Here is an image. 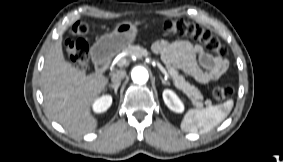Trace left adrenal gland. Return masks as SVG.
Segmentation results:
<instances>
[{
  "instance_id": "obj_1",
  "label": "left adrenal gland",
  "mask_w": 283,
  "mask_h": 162,
  "mask_svg": "<svg viewBox=\"0 0 283 162\" xmlns=\"http://www.w3.org/2000/svg\"><path fill=\"white\" fill-rule=\"evenodd\" d=\"M160 79H161V81H162V84H164V85H169V82H168L167 80L163 79L162 76H160Z\"/></svg>"
}]
</instances>
